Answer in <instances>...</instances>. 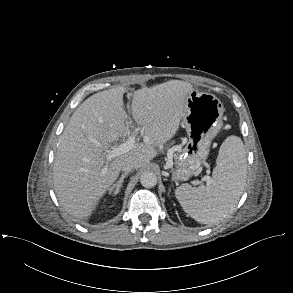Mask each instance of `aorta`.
<instances>
[{
  "instance_id": "obj_1",
  "label": "aorta",
  "mask_w": 293,
  "mask_h": 293,
  "mask_svg": "<svg viewBox=\"0 0 293 293\" xmlns=\"http://www.w3.org/2000/svg\"><path fill=\"white\" fill-rule=\"evenodd\" d=\"M140 182L145 188H152L157 184V177L153 172H144L140 177Z\"/></svg>"
}]
</instances>
